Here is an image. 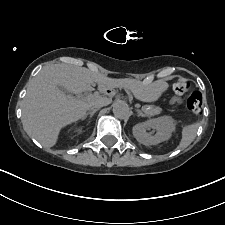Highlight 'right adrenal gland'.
<instances>
[{"label":"right adrenal gland","mask_w":225,"mask_h":225,"mask_svg":"<svg viewBox=\"0 0 225 225\" xmlns=\"http://www.w3.org/2000/svg\"><path fill=\"white\" fill-rule=\"evenodd\" d=\"M97 110L98 109L86 113V116L83 118V120H85L88 115L90 116V119H91L93 117V115L96 113ZM89 123H90V120H89Z\"/></svg>","instance_id":"obj_1"}]
</instances>
